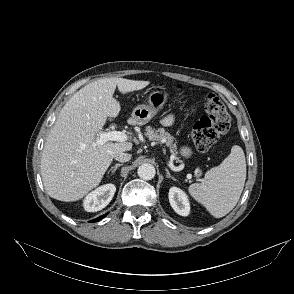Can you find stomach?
I'll list each match as a JSON object with an SVG mask.
<instances>
[{"label":"stomach","instance_id":"1","mask_svg":"<svg viewBox=\"0 0 294 294\" xmlns=\"http://www.w3.org/2000/svg\"><path fill=\"white\" fill-rule=\"evenodd\" d=\"M168 93L165 91H153L148 96V105H139L132 111L131 120L133 124L144 125L148 123L163 108L167 101ZM180 154L185 158L192 155L189 147H182Z\"/></svg>","mask_w":294,"mask_h":294}]
</instances>
